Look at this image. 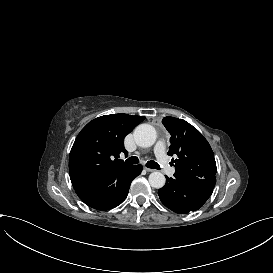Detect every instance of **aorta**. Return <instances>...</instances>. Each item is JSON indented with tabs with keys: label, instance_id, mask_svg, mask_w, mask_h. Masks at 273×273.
Returning <instances> with one entry per match:
<instances>
[{
	"label": "aorta",
	"instance_id": "aorta-1",
	"mask_svg": "<svg viewBox=\"0 0 273 273\" xmlns=\"http://www.w3.org/2000/svg\"><path fill=\"white\" fill-rule=\"evenodd\" d=\"M157 138L155 128L150 124H140L134 131V139L141 147L152 146ZM149 183L151 187L159 189L165 185V176L161 172H152L149 175Z\"/></svg>",
	"mask_w": 273,
	"mask_h": 273
}]
</instances>
